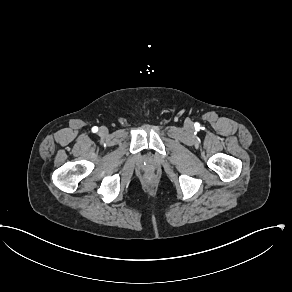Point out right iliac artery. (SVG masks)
Masks as SVG:
<instances>
[{
    "label": "right iliac artery",
    "instance_id": "obj_1",
    "mask_svg": "<svg viewBox=\"0 0 292 292\" xmlns=\"http://www.w3.org/2000/svg\"><path fill=\"white\" fill-rule=\"evenodd\" d=\"M92 131H93L94 133H96V132L98 131V127L94 126V127L92 128Z\"/></svg>",
    "mask_w": 292,
    "mask_h": 292
}]
</instances>
